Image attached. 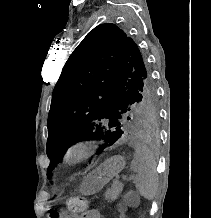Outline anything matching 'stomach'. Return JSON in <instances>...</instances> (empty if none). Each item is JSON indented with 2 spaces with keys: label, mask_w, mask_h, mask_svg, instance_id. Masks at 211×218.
Listing matches in <instances>:
<instances>
[{
  "label": "stomach",
  "mask_w": 211,
  "mask_h": 218,
  "mask_svg": "<svg viewBox=\"0 0 211 218\" xmlns=\"http://www.w3.org/2000/svg\"><path fill=\"white\" fill-rule=\"evenodd\" d=\"M122 156H113L84 177L80 191L84 195L95 194L103 188L113 177L117 176L125 167Z\"/></svg>",
  "instance_id": "stomach-1"
}]
</instances>
